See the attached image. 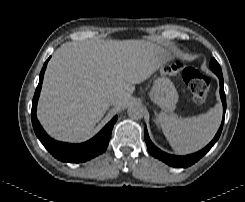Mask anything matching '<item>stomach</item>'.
<instances>
[{
    "label": "stomach",
    "instance_id": "obj_1",
    "mask_svg": "<svg viewBox=\"0 0 245 202\" xmlns=\"http://www.w3.org/2000/svg\"><path fill=\"white\" fill-rule=\"evenodd\" d=\"M165 66L166 63H163L160 68L162 75L154 81L149 97L163 111L172 112L178 101V93L172 81L164 75Z\"/></svg>",
    "mask_w": 245,
    "mask_h": 202
}]
</instances>
